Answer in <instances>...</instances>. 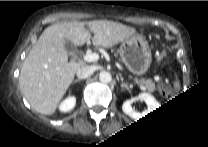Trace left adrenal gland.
<instances>
[{"label":"left adrenal gland","instance_id":"1","mask_svg":"<svg viewBox=\"0 0 208 147\" xmlns=\"http://www.w3.org/2000/svg\"><path fill=\"white\" fill-rule=\"evenodd\" d=\"M121 87H122V88H126L127 90L130 91V88H129L127 85L123 84V83H121Z\"/></svg>","mask_w":208,"mask_h":147}]
</instances>
